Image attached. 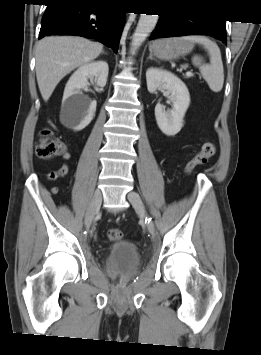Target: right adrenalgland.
I'll use <instances>...</instances> for the list:
<instances>
[{
  "instance_id": "right-adrenal-gland-1",
  "label": "right adrenal gland",
  "mask_w": 261,
  "mask_h": 355,
  "mask_svg": "<svg viewBox=\"0 0 261 355\" xmlns=\"http://www.w3.org/2000/svg\"><path fill=\"white\" fill-rule=\"evenodd\" d=\"M102 54H107V53H105V52L103 51Z\"/></svg>"
}]
</instances>
